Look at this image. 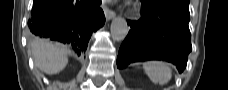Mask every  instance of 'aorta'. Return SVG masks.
Masks as SVG:
<instances>
[{"instance_id": "aorta-1", "label": "aorta", "mask_w": 228, "mask_h": 90, "mask_svg": "<svg viewBox=\"0 0 228 90\" xmlns=\"http://www.w3.org/2000/svg\"><path fill=\"white\" fill-rule=\"evenodd\" d=\"M129 32L127 22L122 17L115 18L111 23V36L114 41L120 42L125 39Z\"/></svg>"}]
</instances>
